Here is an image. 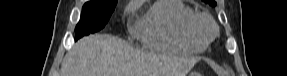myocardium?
Segmentation results:
<instances>
[{
	"label": "myocardium",
	"instance_id": "1",
	"mask_svg": "<svg viewBox=\"0 0 287 76\" xmlns=\"http://www.w3.org/2000/svg\"><path fill=\"white\" fill-rule=\"evenodd\" d=\"M190 29L194 37L205 44L209 43L218 31L213 19L205 13H198L193 16Z\"/></svg>",
	"mask_w": 287,
	"mask_h": 76
}]
</instances>
